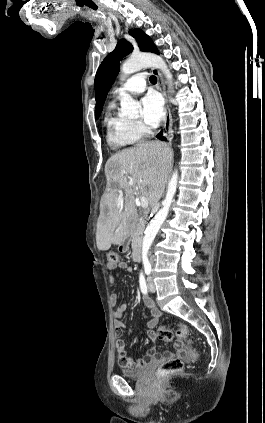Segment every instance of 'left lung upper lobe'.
<instances>
[{"instance_id":"left-lung-upper-lobe-1","label":"left lung upper lobe","mask_w":265,"mask_h":423,"mask_svg":"<svg viewBox=\"0 0 265 423\" xmlns=\"http://www.w3.org/2000/svg\"><path fill=\"white\" fill-rule=\"evenodd\" d=\"M141 51L158 53L157 47L140 29L129 30ZM133 50L132 45L125 39L119 40L116 48L101 63L95 76L96 119L99 118L107 93L119 72V62Z\"/></svg>"}]
</instances>
